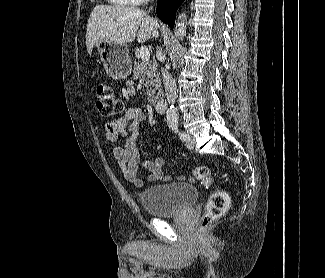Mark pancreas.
<instances>
[{
  "instance_id": "pancreas-1",
  "label": "pancreas",
  "mask_w": 325,
  "mask_h": 278,
  "mask_svg": "<svg viewBox=\"0 0 325 278\" xmlns=\"http://www.w3.org/2000/svg\"><path fill=\"white\" fill-rule=\"evenodd\" d=\"M134 79H142L145 82L147 100L150 103H155L156 99L161 95V80L157 73V67L155 64L149 62H134L133 69ZM157 91V95H156Z\"/></svg>"
}]
</instances>
